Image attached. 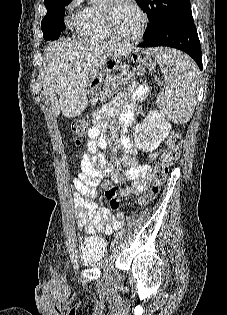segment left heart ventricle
I'll return each instance as SVG.
<instances>
[{"instance_id": "b2bd125f", "label": "left heart ventricle", "mask_w": 227, "mask_h": 315, "mask_svg": "<svg viewBox=\"0 0 227 315\" xmlns=\"http://www.w3.org/2000/svg\"><path fill=\"white\" fill-rule=\"evenodd\" d=\"M112 24L119 37L130 40L140 30L141 17L131 5L119 3L113 8Z\"/></svg>"}]
</instances>
